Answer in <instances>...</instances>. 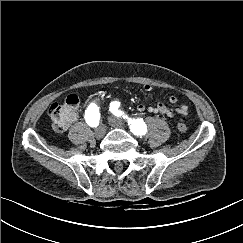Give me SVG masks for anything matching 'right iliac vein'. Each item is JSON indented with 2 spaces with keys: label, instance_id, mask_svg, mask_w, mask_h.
I'll list each match as a JSON object with an SVG mask.
<instances>
[{
  "label": "right iliac vein",
  "instance_id": "1",
  "mask_svg": "<svg viewBox=\"0 0 243 243\" xmlns=\"http://www.w3.org/2000/svg\"><path fill=\"white\" fill-rule=\"evenodd\" d=\"M105 133H106V128L103 124L99 125L95 130V136L97 139L103 138Z\"/></svg>",
  "mask_w": 243,
  "mask_h": 243
}]
</instances>
